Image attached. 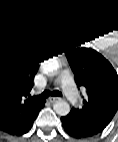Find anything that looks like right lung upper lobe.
<instances>
[{
  "label": "right lung upper lobe",
  "mask_w": 118,
  "mask_h": 142,
  "mask_svg": "<svg viewBox=\"0 0 118 142\" xmlns=\"http://www.w3.org/2000/svg\"><path fill=\"white\" fill-rule=\"evenodd\" d=\"M49 54L50 50L23 44L0 58V129L15 134L37 114L42 102L29 92L39 62Z\"/></svg>",
  "instance_id": "right-lung-upper-lobe-1"
}]
</instances>
